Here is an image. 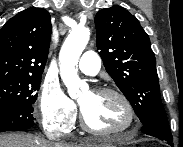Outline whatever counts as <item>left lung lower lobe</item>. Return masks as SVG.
<instances>
[{
    "label": "left lung lower lobe",
    "mask_w": 183,
    "mask_h": 147,
    "mask_svg": "<svg viewBox=\"0 0 183 147\" xmlns=\"http://www.w3.org/2000/svg\"><path fill=\"white\" fill-rule=\"evenodd\" d=\"M142 132L147 135L167 141L170 145H173V138L169 129V125L161 123L144 124L142 127Z\"/></svg>",
    "instance_id": "1"
}]
</instances>
